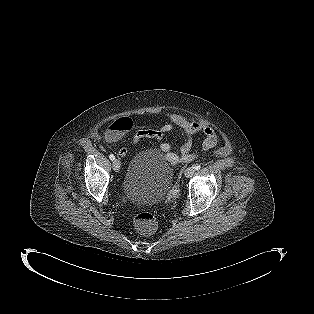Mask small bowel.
I'll return each mask as SVG.
<instances>
[{"instance_id": "obj_1", "label": "small bowel", "mask_w": 314, "mask_h": 314, "mask_svg": "<svg viewBox=\"0 0 314 314\" xmlns=\"http://www.w3.org/2000/svg\"><path fill=\"white\" fill-rule=\"evenodd\" d=\"M174 128H179L185 139L181 145V158L171 152V145L168 142H162L159 145L160 151L163 153L164 158L176 165L180 160H189L193 157L192 153V136L196 134L203 135L202 148L204 150H210L214 148L218 143V135L216 131L208 124L202 121H189L178 114H171L169 121L164 123L159 129L144 128L137 130L131 139V145H137L141 140L144 139H155L162 140L164 136L170 133ZM128 153L127 147H122L118 151V156L124 158Z\"/></svg>"}]
</instances>
